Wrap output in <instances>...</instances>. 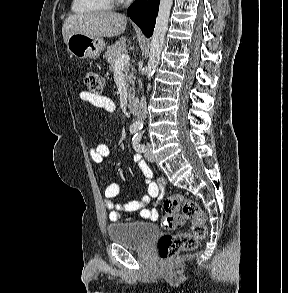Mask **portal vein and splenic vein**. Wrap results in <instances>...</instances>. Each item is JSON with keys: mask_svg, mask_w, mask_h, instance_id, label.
<instances>
[{"mask_svg": "<svg viewBox=\"0 0 288 293\" xmlns=\"http://www.w3.org/2000/svg\"><path fill=\"white\" fill-rule=\"evenodd\" d=\"M129 60H130V57L127 54H122L121 56H119L117 60L115 61L116 69H123L124 67H126L127 64L129 63Z\"/></svg>", "mask_w": 288, "mask_h": 293, "instance_id": "1", "label": "portal vein and splenic vein"}]
</instances>
